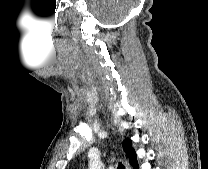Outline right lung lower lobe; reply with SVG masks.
<instances>
[{"label": "right lung lower lobe", "instance_id": "98d812e1", "mask_svg": "<svg viewBox=\"0 0 208 169\" xmlns=\"http://www.w3.org/2000/svg\"><path fill=\"white\" fill-rule=\"evenodd\" d=\"M133 167H134V169H138L139 168L138 163H136Z\"/></svg>", "mask_w": 208, "mask_h": 169}]
</instances>
